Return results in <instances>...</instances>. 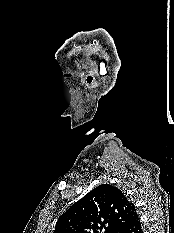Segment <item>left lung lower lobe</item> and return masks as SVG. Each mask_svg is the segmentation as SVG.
<instances>
[{
    "label": "left lung lower lobe",
    "instance_id": "obj_1",
    "mask_svg": "<svg viewBox=\"0 0 174 233\" xmlns=\"http://www.w3.org/2000/svg\"><path fill=\"white\" fill-rule=\"evenodd\" d=\"M119 233H143L138 215H135L128 223H126Z\"/></svg>",
    "mask_w": 174,
    "mask_h": 233
}]
</instances>
